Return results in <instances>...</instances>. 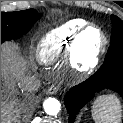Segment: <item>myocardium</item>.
<instances>
[{"label": "myocardium", "mask_w": 123, "mask_h": 123, "mask_svg": "<svg viewBox=\"0 0 123 123\" xmlns=\"http://www.w3.org/2000/svg\"><path fill=\"white\" fill-rule=\"evenodd\" d=\"M90 29H96L102 37V42L95 53L90 57H86L84 53L79 50V42L86 35ZM108 45V37L104 30L96 24H89L82 29L77 35L72 46V66L78 74H90L98 65L102 54L105 52Z\"/></svg>", "instance_id": "myocardium-1"}]
</instances>
